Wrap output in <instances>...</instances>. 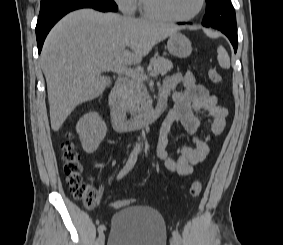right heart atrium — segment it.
I'll return each mask as SVG.
<instances>
[{"label":"right heart atrium","mask_w":283,"mask_h":245,"mask_svg":"<svg viewBox=\"0 0 283 245\" xmlns=\"http://www.w3.org/2000/svg\"><path fill=\"white\" fill-rule=\"evenodd\" d=\"M125 14H132L137 7V0H113Z\"/></svg>","instance_id":"right-heart-atrium-1"}]
</instances>
